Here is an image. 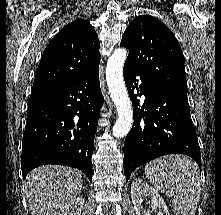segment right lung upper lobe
Instances as JSON below:
<instances>
[{
    "label": "right lung upper lobe",
    "mask_w": 221,
    "mask_h": 215,
    "mask_svg": "<svg viewBox=\"0 0 221 215\" xmlns=\"http://www.w3.org/2000/svg\"><path fill=\"white\" fill-rule=\"evenodd\" d=\"M100 43L92 25L77 19L62 28L46 47L32 93L55 88L99 64Z\"/></svg>",
    "instance_id": "1"
}]
</instances>
